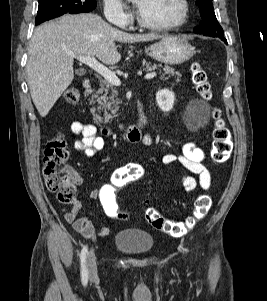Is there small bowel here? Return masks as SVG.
Returning a JSON list of instances; mask_svg holds the SVG:
<instances>
[{"instance_id":"1","label":"small bowel","mask_w":267,"mask_h":301,"mask_svg":"<svg viewBox=\"0 0 267 301\" xmlns=\"http://www.w3.org/2000/svg\"><path fill=\"white\" fill-rule=\"evenodd\" d=\"M70 131L75 136L80 137L73 143L74 149L83 152L88 157L93 156L105 146L104 138L98 134L97 128L93 124L74 121L70 125ZM143 141L150 144L151 138L144 136ZM205 158V152L201 148L193 142H186L179 154H165L162 161L166 165H180L189 173L197 175V179L190 174H184L181 178L183 189L186 192H192L197 186H200L203 190H208L211 187V175L204 164ZM70 172L74 183L80 185L82 183L80 175L72 169H70ZM97 195V190L92 191L90 199L96 200ZM79 212L80 204L76 203L72 210L64 213V218L84 238L93 240L97 236L107 237L111 234V230L107 227L97 229L90 219L79 216Z\"/></svg>"}]
</instances>
